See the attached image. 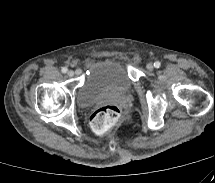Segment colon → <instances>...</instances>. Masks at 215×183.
I'll return each instance as SVG.
<instances>
[{"label": "colon", "mask_w": 215, "mask_h": 183, "mask_svg": "<svg viewBox=\"0 0 215 183\" xmlns=\"http://www.w3.org/2000/svg\"><path fill=\"white\" fill-rule=\"evenodd\" d=\"M119 117L120 110L116 105H106L93 112L90 125L96 134L102 135L118 121Z\"/></svg>", "instance_id": "colon-1"}]
</instances>
